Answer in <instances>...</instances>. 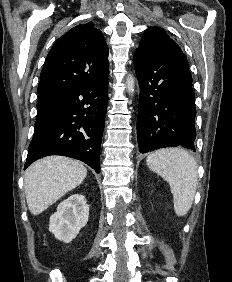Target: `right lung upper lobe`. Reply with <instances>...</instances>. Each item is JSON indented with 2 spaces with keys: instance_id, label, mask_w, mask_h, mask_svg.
I'll list each match as a JSON object with an SVG mask.
<instances>
[{
  "instance_id": "cb5924a9",
  "label": "right lung upper lobe",
  "mask_w": 232,
  "mask_h": 282,
  "mask_svg": "<svg viewBox=\"0 0 232 282\" xmlns=\"http://www.w3.org/2000/svg\"><path fill=\"white\" fill-rule=\"evenodd\" d=\"M108 74V47L102 32L92 23L77 25L61 36L49 51L38 92L63 97L73 88Z\"/></svg>"
}]
</instances>
